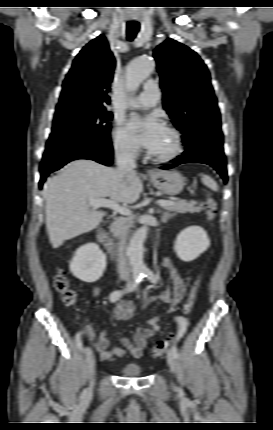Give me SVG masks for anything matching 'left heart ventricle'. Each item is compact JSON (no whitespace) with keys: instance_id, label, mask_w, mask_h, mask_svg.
<instances>
[{"instance_id":"b2bd125f","label":"left heart ventricle","mask_w":273,"mask_h":430,"mask_svg":"<svg viewBox=\"0 0 273 430\" xmlns=\"http://www.w3.org/2000/svg\"><path fill=\"white\" fill-rule=\"evenodd\" d=\"M172 149H173V138H172L171 134L165 130V132L163 133V135L160 139L159 144L151 152L156 154V155H165V154L170 153L172 151Z\"/></svg>"}]
</instances>
